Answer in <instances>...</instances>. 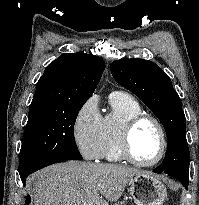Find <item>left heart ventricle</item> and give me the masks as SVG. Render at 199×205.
<instances>
[{"label":"left heart ventricle","instance_id":"left-heart-ventricle-1","mask_svg":"<svg viewBox=\"0 0 199 205\" xmlns=\"http://www.w3.org/2000/svg\"><path fill=\"white\" fill-rule=\"evenodd\" d=\"M161 140L156 126L145 121L134 130L131 138L133 155L141 162L154 160L160 151Z\"/></svg>","mask_w":199,"mask_h":205}]
</instances>
